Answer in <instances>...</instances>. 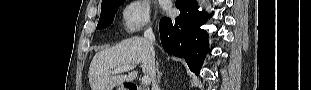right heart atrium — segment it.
Wrapping results in <instances>:
<instances>
[{
	"label": "right heart atrium",
	"instance_id": "obj_1",
	"mask_svg": "<svg viewBox=\"0 0 311 90\" xmlns=\"http://www.w3.org/2000/svg\"><path fill=\"white\" fill-rule=\"evenodd\" d=\"M122 26L127 34H132L150 24L149 7L143 1H133L121 13Z\"/></svg>",
	"mask_w": 311,
	"mask_h": 90
}]
</instances>
